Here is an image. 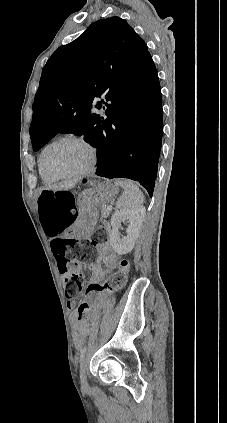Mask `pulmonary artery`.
<instances>
[{"instance_id": "1", "label": "pulmonary artery", "mask_w": 227, "mask_h": 423, "mask_svg": "<svg viewBox=\"0 0 227 423\" xmlns=\"http://www.w3.org/2000/svg\"><path fill=\"white\" fill-rule=\"evenodd\" d=\"M92 112H93V113H95V112H97V110H96L95 108H93V109H92Z\"/></svg>"}]
</instances>
